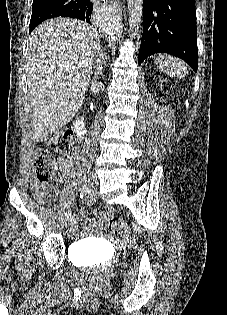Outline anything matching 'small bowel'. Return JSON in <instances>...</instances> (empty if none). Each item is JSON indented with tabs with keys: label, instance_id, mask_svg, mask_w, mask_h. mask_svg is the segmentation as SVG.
<instances>
[{
	"label": "small bowel",
	"instance_id": "c3829d8e",
	"mask_svg": "<svg viewBox=\"0 0 227 315\" xmlns=\"http://www.w3.org/2000/svg\"><path fill=\"white\" fill-rule=\"evenodd\" d=\"M77 158H78V153L75 151L72 153V155L69 158L60 157L58 159V169L63 176L68 177L71 175V166L77 160ZM50 189L55 196L58 197L60 195L59 190H57L56 188H50ZM32 191L35 198L38 200L40 204H46L49 201L47 187L32 185ZM107 211L109 212V209ZM80 216L81 218L85 220L89 219V214L84 209L80 210ZM76 229H77V224L74 223L72 225L71 231L75 232Z\"/></svg>",
	"mask_w": 227,
	"mask_h": 315
}]
</instances>
